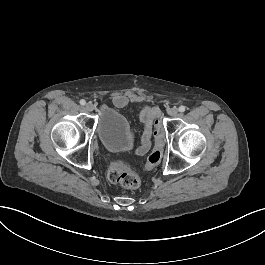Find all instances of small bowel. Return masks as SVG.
Masks as SVG:
<instances>
[{
    "mask_svg": "<svg viewBox=\"0 0 265 265\" xmlns=\"http://www.w3.org/2000/svg\"><path fill=\"white\" fill-rule=\"evenodd\" d=\"M112 102L114 106L117 108H123L130 102L131 103L137 102L138 105H143V108L140 112V119L144 127V136L142 144L137 149V154L138 155L146 154L149 151L151 145L152 126L157 114L159 113V108L151 107L149 101H144L143 98H140L134 93L122 94L116 92L112 96Z\"/></svg>",
    "mask_w": 265,
    "mask_h": 265,
    "instance_id": "c3829d8e",
    "label": "small bowel"
}]
</instances>
